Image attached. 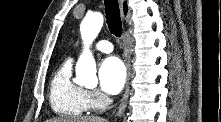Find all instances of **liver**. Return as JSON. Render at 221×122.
Wrapping results in <instances>:
<instances>
[{
  "label": "liver",
  "instance_id": "obj_1",
  "mask_svg": "<svg viewBox=\"0 0 221 122\" xmlns=\"http://www.w3.org/2000/svg\"><path fill=\"white\" fill-rule=\"evenodd\" d=\"M46 122H106V120L98 116H85L53 118L47 120Z\"/></svg>",
  "mask_w": 221,
  "mask_h": 122
}]
</instances>
